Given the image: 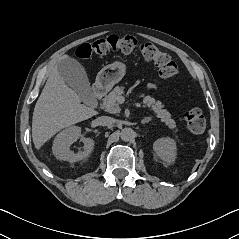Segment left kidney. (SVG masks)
Listing matches in <instances>:
<instances>
[{
  "instance_id": "left-kidney-1",
  "label": "left kidney",
  "mask_w": 239,
  "mask_h": 239,
  "mask_svg": "<svg viewBox=\"0 0 239 239\" xmlns=\"http://www.w3.org/2000/svg\"><path fill=\"white\" fill-rule=\"evenodd\" d=\"M157 156L168 164L174 163L176 159V142L170 137L160 138L153 144Z\"/></svg>"
}]
</instances>
